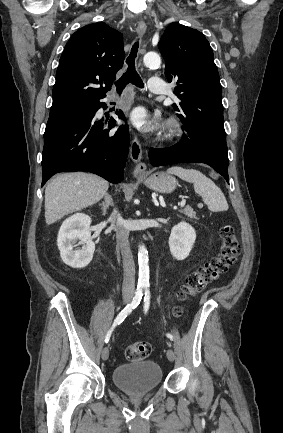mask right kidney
Masks as SVG:
<instances>
[{
    "label": "right kidney",
    "mask_w": 283,
    "mask_h": 433,
    "mask_svg": "<svg viewBox=\"0 0 283 433\" xmlns=\"http://www.w3.org/2000/svg\"><path fill=\"white\" fill-rule=\"evenodd\" d=\"M91 218L83 213H76L67 218L61 225L57 245L60 250L62 261L72 267L81 269L86 267L92 260L95 244L92 241L90 231ZM82 245L78 250H73L76 240Z\"/></svg>",
    "instance_id": "obj_1"
}]
</instances>
